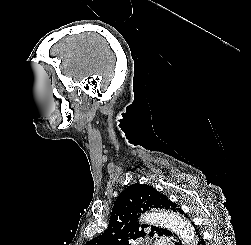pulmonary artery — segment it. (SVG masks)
Masks as SVG:
<instances>
[{"instance_id": "pulmonary-artery-1", "label": "pulmonary artery", "mask_w": 251, "mask_h": 245, "mask_svg": "<svg viewBox=\"0 0 251 245\" xmlns=\"http://www.w3.org/2000/svg\"><path fill=\"white\" fill-rule=\"evenodd\" d=\"M155 245H168L167 241L164 239L157 240Z\"/></svg>"}]
</instances>
